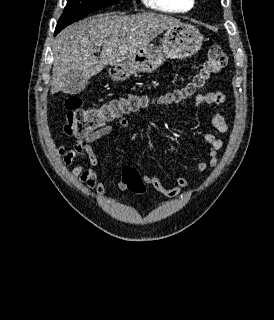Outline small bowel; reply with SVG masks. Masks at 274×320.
<instances>
[{"mask_svg":"<svg viewBox=\"0 0 274 320\" xmlns=\"http://www.w3.org/2000/svg\"><path fill=\"white\" fill-rule=\"evenodd\" d=\"M225 102V96L220 91H212L207 93H199L194 98L195 107L203 105H222ZM105 124V121H102ZM211 124L220 133H226L229 130V125L224 117L217 111L213 110L211 113ZM133 129L126 118L120 117L115 125L105 124L100 129L87 134L74 143L70 150H59V155L63 160L65 166H70L76 159L82 160L81 163L73 167L71 175L86 184L91 190H94L99 196L108 200H115L110 198L106 192L105 184L100 180L97 172L94 170L99 166V159L93 149V144L96 141L103 140L111 136L116 130L129 132ZM204 141L207 144L209 161L201 160L197 163V174L202 175L208 168L215 167L219 162L220 151L224 146V140L217 137L213 133L206 132L203 134ZM85 161L91 166L87 168ZM143 180L153 189H155L162 198L178 197L183 189L189 186V181L185 177H175V186L167 187L163 184L161 179L153 173H145ZM116 188L119 191L127 189L123 181L116 183Z\"/></svg>","mask_w":274,"mask_h":320,"instance_id":"c3829d8e","label":"small bowel"}]
</instances>
